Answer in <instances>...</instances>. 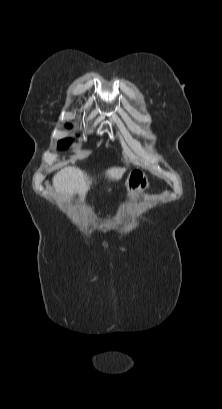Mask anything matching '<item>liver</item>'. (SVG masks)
<instances>
[{"mask_svg": "<svg viewBox=\"0 0 222 409\" xmlns=\"http://www.w3.org/2000/svg\"><path fill=\"white\" fill-rule=\"evenodd\" d=\"M125 168L112 167L106 171V176L111 180H119ZM92 181L81 169L68 166L61 169L53 177V185L57 192L72 197L78 194L84 200Z\"/></svg>", "mask_w": 222, "mask_h": 409, "instance_id": "liver-1", "label": "liver"}]
</instances>
